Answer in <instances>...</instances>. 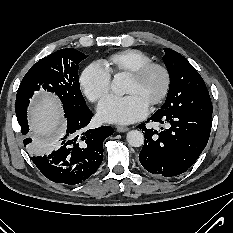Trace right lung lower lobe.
Instances as JSON below:
<instances>
[{"instance_id": "1", "label": "right lung lower lobe", "mask_w": 233, "mask_h": 233, "mask_svg": "<svg viewBox=\"0 0 233 233\" xmlns=\"http://www.w3.org/2000/svg\"><path fill=\"white\" fill-rule=\"evenodd\" d=\"M67 129L53 146L40 150L31 138L24 140L36 167L49 180L64 184H78L88 179L103 160V141L113 134L110 126L86 130L92 113L87 107L77 112H65Z\"/></svg>"}]
</instances>
